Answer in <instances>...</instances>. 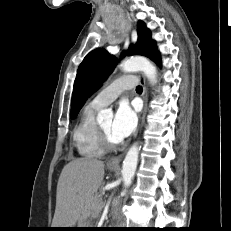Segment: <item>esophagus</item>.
<instances>
[{
	"mask_svg": "<svg viewBox=\"0 0 231 231\" xmlns=\"http://www.w3.org/2000/svg\"><path fill=\"white\" fill-rule=\"evenodd\" d=\"M140 81L143 85V94H142V97H143V100L145 102V95H146V92H147V87H146V81H145V78L143 75H140ZM123 155L124 154H121L117 157H114V158H111L107 161V165L110 166V167H118L120 165V162L122 161L123 159Z\"/></svg>",
	"mask_w": 231,
	"mask_h": 231,
	"instance_id": "1",
	"label": "esophagus"
}]
</instances>
